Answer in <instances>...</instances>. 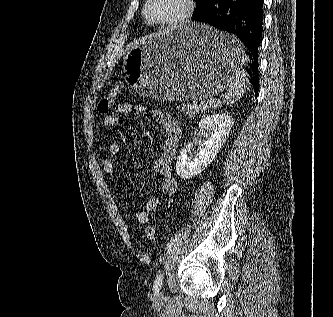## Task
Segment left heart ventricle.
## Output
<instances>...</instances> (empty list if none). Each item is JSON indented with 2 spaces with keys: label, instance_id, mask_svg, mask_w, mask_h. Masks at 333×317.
Returning a JSON list of instances; mask_svg holds the SVG:
<instances>
[{
  "label": "left heart ventricle",
  "instance_id": "1",
  "mask_svg": "<svg viewBox=\"0 0 333 317\" xmlns=\"http://www.w3.org/2000/svg\"><path fill=\"white\" fill-rule=\"evenodd\" d=\"M180 9L179 0H152L148 13L152 18L165 20L177 15Z\"/></svg>",
  "mask_w": 333,
  "mask_h": 317
}]
</instances>
